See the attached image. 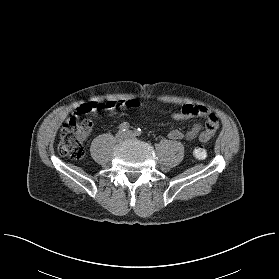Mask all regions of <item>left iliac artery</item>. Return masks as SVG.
Wrapping results in <instances>:
<instances>
[{
	"label": "left iliac artery",
	"instance_id": "left-iliac-artery-1",
	"mask_svg": "<svg viewBox=\"0 0 279 279\" xmlns=\"http://www.w3.org/2000/svg\"><path fill=\"white\" fill-rule=\"evenodd\" d=\"M135 136H140L142 134V130L140 128L134 131Z\"/></svg>",
	"mask_w": 279,
	"mask_h": 279
}]
</instances>
